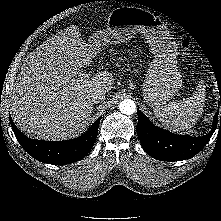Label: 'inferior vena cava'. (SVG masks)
<instances>
[{
    "mask_svg": "<svg viewBox=\"0 0 221 221\" xmlns=\"http://www.w3.org/2000/svg\"><path fill=\"white\" fill-rule=\"evenodd\" d=\"M106 92L103 90H95L90 97L93 103H98L105 99Z\"/></svg>",
    "mask_w": 221,
    "mask_h": 221,
    "instance_id": "1",
    "label": "inferior vena cava"
}]
</instances>
